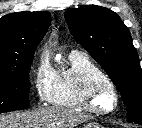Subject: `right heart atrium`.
Instances as JSON below:
<instances>
[{
  "label": "right heart atrium",
  "mask_w": 142,
  "mask_h": 128,
  "mask_svg": "<svg viewBox=\"0 0 142 128\" xmlns=\"http://www.w3.org/2000/svg\"><path fill=\"white\" fill-rule=\"evenodd\" d=\"M55 79V71L45 55L39 56L31 75L32 86L41 103L49 102Z\"/></svg>",
  "instance_id": "d8ad5b80"
}]
</instances>
